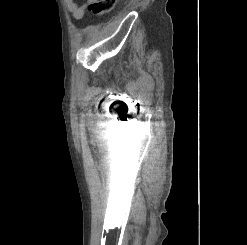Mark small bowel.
I'll return each mask as SVG.
<instances>
[{
	"label": "small bowel",
	"mask_w": 247,
	"mask_h": 245,
	"mask_svg": "<svg viewBox=\"0 0 247 245\" xmlns=\"http://www.w3.org/2000/svg\"><path fill=\"white\" fill-rule=\"evenodd\" d=\"M91 2V0H88ZM67 10L72 14L75 19H81L85 15L86 6L78 5L75 0H64Z\"/></svg>",
	"instance_id": "small-bowel-1"
}]
</instances>
